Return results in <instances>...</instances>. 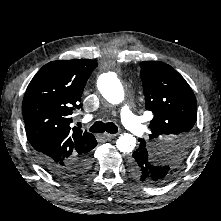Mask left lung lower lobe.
<instances>
[{
  "label": "left lung lower lobe",
  "mask_w": 221,
  "mask_h": 221,
  "mask_svg": "<svg viewBox=\"0 0 221 221\" xmlns=\"http://www.w3.org/2000/svg\"><path fill=\"white\" fill-rule=\"evenodd\" d=\"M129 169L132 176L145 184H154V181L163 173V170L152 161L146 145L141 142L129 160Z\"/></svg>",
  "instance_id": "left-lung-lower-lobe-1"
}]
</instances>
